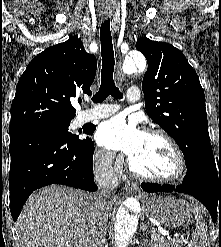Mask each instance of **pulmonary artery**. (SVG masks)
<instances>
[{"label": "pulmonary artery", "mask_w": 221, "mask_h": 247, "mask_svg": "<svg viewBox=\"0 0 221 247\" xmlns=\"http://www.w3.org/2000/svg\"><path fill=\"white\" fill-rule=\"evenodd\" d=\"M129 102L140 99V90L137 87L130 88L127 92ZM120 109L119 106L99 105L81 113V122L109 117Z\"/></svg>", "instance_id": "e3ab8cb5"}]
</instances>
